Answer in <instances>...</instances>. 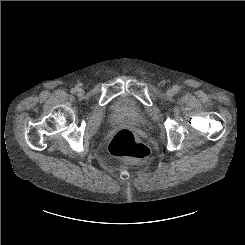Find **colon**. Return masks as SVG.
I'll use <instances>...</instances> for the list:
<instances>
[{"mask_svg":"<svg viewBox=\"0 0 245 245\" xmlns=\"http://www.w3.org/2000/svg\"><path fill=\"white\" fill-rule=\"evenodd\" d=\"M108 150L113 156L134 161L146 160L150 155V149L129 129L119 130L111 139Z\"/></svg>","mask_w":245,"mask_h":245,"instance_id":"obj_1","label":"colon"}]
</instances>
